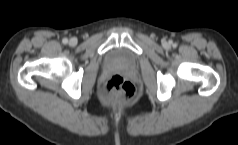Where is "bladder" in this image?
Instances as JSON below:
<instances>
[{"label": "bladder", "instance_id": "obj_1", "mask_svg": "<svg viewBox=\"0 0 238 145\" xmlns=\"http://www.w3.org/2000/svg\"><path fill=\"white\" fill-rule=\"evenodd\" d=\"M106 63L112 67L131 69L136 66V57L125 48H113L108 51L105 57Z\"/></svg>", "mask_w": 238, "mask_h": 145}]
</instances>
